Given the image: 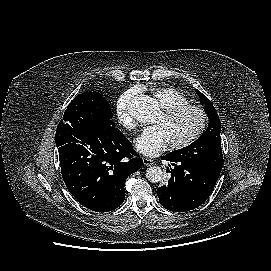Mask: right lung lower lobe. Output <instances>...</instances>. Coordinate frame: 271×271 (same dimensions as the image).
I'll return each mask as SVG.
<instances>
[{"label":"right lung lower lobe","mask_w":271,"mask_h":271,"mask_svg":"<svg viewBox=\"0 0 271 271\" xmlns=\"http://www.w3.org/2000/svg\"><path fill=\"white\" fill-rule=\"evenodd\" d=\"M55 142L62 178L81 205L108 212L123 203L125 181L143 161L119 129L103 123L61 120Z\"/></svg>","instance_id":"obj_1"}]
</instances>
